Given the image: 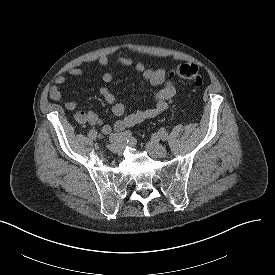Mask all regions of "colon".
Instances as JSON below:
<instances>
[{
  "label": "colon",
  "mask_w": 275,
  "mask_h": 275,
  "mask_svg": "<svg viewBox=\"0 0 275 275\" xmlns=\"http://www.w3.org/2000/svg\"><path fill=\"white\" fill-rule=\"evenodd\" d=\"M171 76L192 82L196 86L203 84V78L199 68L194 64H180L168 70Z\"/></svg>",
  "instance_id": "obj_1"
}]
</instances>
